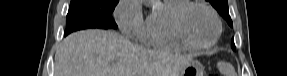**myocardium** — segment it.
<instances>
[{
	"mask_svg": "<svg viewBox=\"0 0 287 76\" xmlns=\"http://www.w3.org/2000/svg\"><path fill=\"white\" fill-rule=\"evenodd\" d=\"M194 7H199L202 8L204 10H206L207 12H209L211 14V16L213 17L215 24H216V33L213 37V39L205 44H199V43H195L193 42L187 35L185 29H184V25H183V20L185 15L187 14V12ZM173 29L174 32L176 34V36L178 37V39L184 44L186 45L188 48L191 49H196V50H204V49H209L211 47H213L218 39L220 38L221 34H222V22L220 17L218 16V14L216 13V11L210 7L209 5L203 3V2H198V1H186L183 5H181L174 13L173 16Z\"/></svg>",
	"mask_w": 287,
	"mask_h": 76,
	"instance_id": "f54148a6",
	"label": "myocardium"
}]
</instances>
